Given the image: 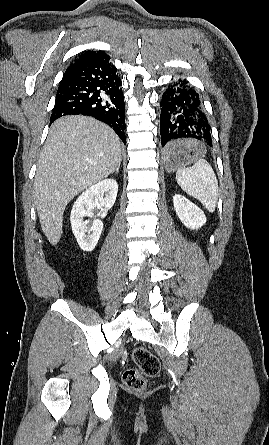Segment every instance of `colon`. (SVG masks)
<instances>
[{"instance_id": "obj_1", "label": "colon", "mask_w": 269, "mask_h": 445, "mask_svg": "<svg viewBox=\"0 0 269 445\" xmlns=\"http://www.w3.org/2000/svg\"><path fill=\"white\" fill-rule=\"evenodd\" d=\"M132 359L137 368L125 370L122 376L123 382L132 390L143 391L146 388L145 377H154L160 372V361L156 355L144 347L134 348Z\"/></svg>"}]
</instances>
